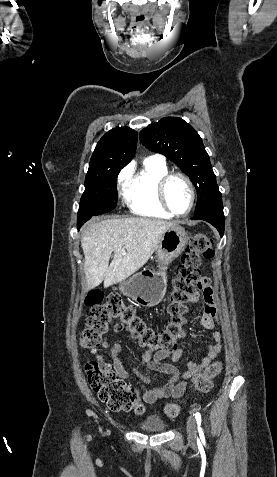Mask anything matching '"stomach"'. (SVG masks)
Here are the masks:
<instances>
[{
	"mask_svg": "<svg viewBox=\"0 0 277 477\" xmlns=\"http://www.w3.org/2000/svg\"><path fill=\"white\" fill-rule=\"evenodd\" d=\"M188 239L187 232L178 224L166 230L156 248L159 270H144L128 280L121 281L119 289L123 295L132 298L142 307L158 305L166 293L165 270L168 264L184 251Z\"/></svg>",
	"mask_w": 277,
	"mask_h": 477,
	"instance_id": "obj_1",
	"label": "stomach"
}]
</instances>
